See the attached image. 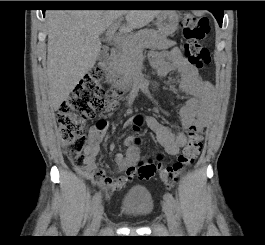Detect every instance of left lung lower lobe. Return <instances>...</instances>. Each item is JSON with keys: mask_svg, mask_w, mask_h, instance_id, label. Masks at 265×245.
Instances as JSON below:
<instances>
[{"mask_svg": "<svg viewBox=\"0 0 265 245\" xmlns=\"http://www.w3.org/2000/svg\"><path fill=\"white\" fill-rule=\"evenodd\" d=\"M210 12L214 15V17L217 19L220 26H222V20H223V10L222 9H210Z\"/></svg>", "mask_w": 265, "mask_h": 245, "instance_id": "obj_1", "label": "left lung lower lobe"}]
</instances>
